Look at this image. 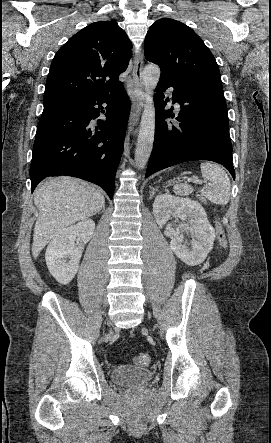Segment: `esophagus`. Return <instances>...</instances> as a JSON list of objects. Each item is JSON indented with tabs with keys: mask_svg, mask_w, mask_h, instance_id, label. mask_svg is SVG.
I'll use <instances>...</instances> for the list:
<instances>
[{
	"mask_svg": "<svg viewBox=\"0 0 271 443\" xmlns=\"http://www.w3.org/2000/svg\"><path fill=\"white\" fill-rule=\"evenodd\" d=\"M142 71H143V54L139 52L135 55L134 58V66H133L134 88L132 91L134 103L132 105L130 113L129 125H132L137 122L145 103Z\"/></svg>",
	"mask_w": 271,
	"mask_h": 443,
	"instance_id": "34e87169",
	"label": "esophagus"
}]
</instances>
